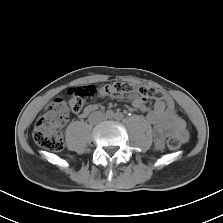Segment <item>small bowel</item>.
<instances>
[{"label":"small bowel","mask_w":223,"mask_h":223,"mask_svg":"<svg viewBox=\"0 0 223 223\" xmlns=\"http://www.w3.org/2000/svg\"><path fill=\"white\" fill-rule=\"evenodd\" d=\"M130 99L134 108L140 111L147 110V106L142 99L135 96H131ZM97 109V104H90L80 113V117L85 118ZM146 118L153 128L157 150L163 149L164 140L170 135L178 137L182 142L188 140L185 121L178 115L175 107L173 110H168L162 99H156L153 109L148 112Z\"/></svg>","instance_id":"1"}]
</instances>
